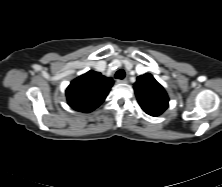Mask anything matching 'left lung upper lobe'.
Masks as SVG:
<instances>
[{
	"label": "left lung upper lobe",
	"instance_id": "1",
	"mask_svg": "<svg viewBox=\"0 0 222 187\" xmlns=\"http://www.w3.org/2000/svg\"><path fill=\"white\" fill-rule=\"evenodd\" d=\"M134 90L141 108L147 114L159 116L168 108V95L151 74L139 76L134 84Z\"/></svg>",
	"mask_w": 222,
	"mask_h": 187
}]
</instances>
